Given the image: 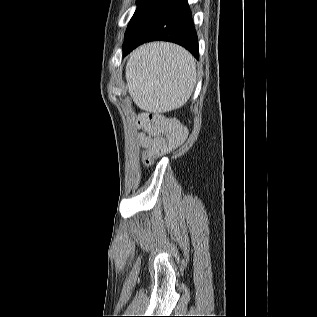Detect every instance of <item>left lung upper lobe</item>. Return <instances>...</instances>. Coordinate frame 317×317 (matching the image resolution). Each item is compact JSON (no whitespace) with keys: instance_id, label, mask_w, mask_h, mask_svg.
Returning a JSON list of instances; mask_svg holds the SVG:
<instances>
[{"instance_id":"left-lung-upper-lobe-1","label":"left lung upper lobe","mask_w":317,"mask_h":317,"mask_svg":"<svg viewBox=\"0 0 317 317\" xmlns=\"http://www.w3.org/2000/svg\"><path fill=\"white\" fill-rule=\"evenodd\" d=\"M167 0H138L137 9L131 18L124 38L129 42Z\"/></svg>"}]
</instances>
